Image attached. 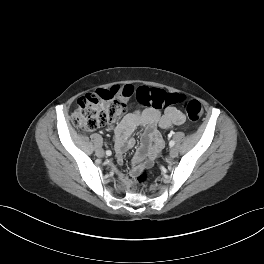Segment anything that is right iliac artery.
Masks as SVG:
<instances>
[{
    "instance_id": "right-iliac-artery-1",
    "label": "right iliac artery",
    "mask_w": 264,
    "mask_h": 264,
    "mask_svg": "<svg viewBox=\"0 0 264 264\" xmlns=\"http://www.w3.org/2000/svg\"><path fill=\"white\" fill-rule=\"evenodd\" d=\"M106 155H107V156H111V155H112V152H111L110 150H107V151H106Z\"/></svg>"
}]
</instances>
